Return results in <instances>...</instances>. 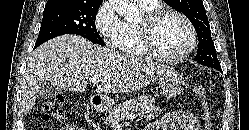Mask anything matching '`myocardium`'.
Masks as SVG:
<instances>
[{"label": "myocardium", "instance_id": "myocardium-1", "mask_svg": "<svg viewBox=\"0 0 249 130\" xmlns=\"http://www.w3.org/2000/svg\"><path fill=\"white\" fill-rule=\"evenodd\" d=\"M167 16H175L181 19L189 30L190 40L188 46L184 51L177 55L164 54L157 48L154 41L155 27L164 17ZM139 28L145 51L148 55L160 61L169 63L182 61L192 53L197 44V32L192 21L185 14L174 9H156L148 12L143 22L139 25Z\"/></svg>", "mask_w": 249, "mask_h": 130}]
</instances>
